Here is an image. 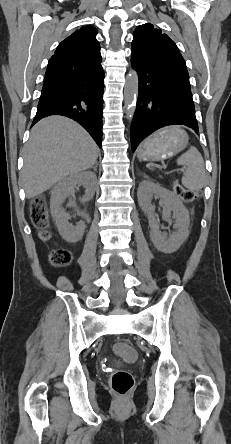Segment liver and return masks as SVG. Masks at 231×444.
<instances>
[{
  "label": "liver",
  "instance_id": "1",
  "mask_svg": "<svg viewBox=\"0 0 231 444\" xmlns=\"http://www.w3.org/2000/svg\"><path fill=\"white\" fill-rule=\"evenodd\" d=\"M98 147L78 123L63 116L40 120L24 148L20 182L28 199L51 188L69 175L92 168Z\"/></svg>",
  "mask_w": 231,
  "mask_h": 444
}]
</instances>
